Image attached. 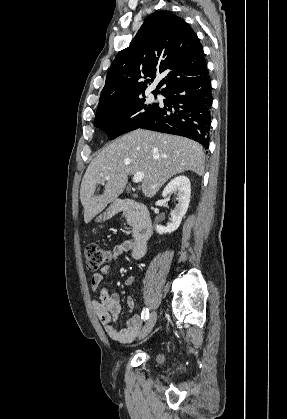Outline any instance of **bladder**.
I'll use <instances>...</instances> for the list:
<instances>
[{"label":"bladder","mask_w":287,"mask_h":419,"mask_svg":"<svg viewBox=\"0 0 287 419\" xmlns=\"http://www.w3.org/2000/svg\"><path fill=\"white\" fill-rule=\"evenodd\" d=\"M158 360H161V357L160 356H158Z\"/></svg>","instance_id":"obj_1"}]
</instances>
